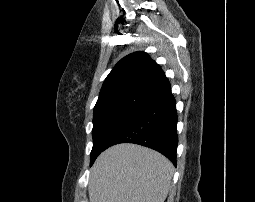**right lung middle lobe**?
<instances>
[{"mask_svg":"<svg viewBox=\"0 0 255 202\" xmlns=\"http://www.w3.org/2000/svg\"><path fill=\"white\" fill-rule=\"evenodd\" d=\"M137 111L117 110L94 115L93 118V148L91 151L90 165L98 155L104 151L113 135L130 119Z\"/></svg>","mask_w":255,"mask_h":202,"instance_id":"1","label":"right lung middle lobe"}]
</instances>
